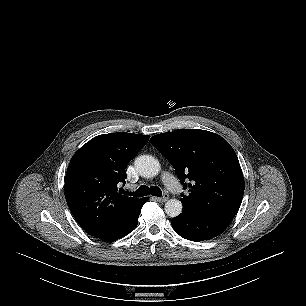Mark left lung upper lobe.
<instances>
[{
	"label": "left lung upper lobe",
	"mask_w": 306,
	"mask_h": 306,
	"mask_svg": "<svg viewBox=\"0 0 306 306\" xmlns=\"http://www.w3.org/2000/svg\"><path fill=\"white\" fill-rule=\"evenodd\" d=\"M150 140L172 164L184 189L190 188L181 199L183 208L234 218L243 198L244 178L236 153L225 139L206 130L179 129Z\"/></svg>",
	"instance_id": "obj_1"
}]
</instances>
